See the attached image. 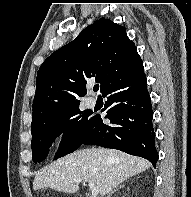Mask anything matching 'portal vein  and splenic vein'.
<instances>
[{"label": "portal vein and splenic vein", "mask_w": 191, "mask_h": 197, "mask_svg": "<svg viewBox=\"0 0 191 197\" xmlns=\"http://www.w3.org/2000/svg\"><path fill=\"white\" fill-rule=\"evenodd\" d=\"M73 182L74 183H80V182H82V180L81 179H75V180H73ZM88 185H89V188L91 190L92 197H97V195L99 193V188L92 182H89Z\"/></svg>", "instance_id": "1"}]
</instances>
